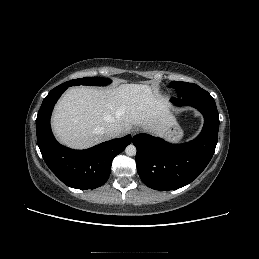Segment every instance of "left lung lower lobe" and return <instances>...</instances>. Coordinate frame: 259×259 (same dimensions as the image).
I'll return each mask as SVG.
<instances>
[{
  "mask_svg": "<svg viewBox=\"0 0 259 259\" xmlns=\"http://www.w3.org/2000/svg\"><path fill=\"white\" fill-rule=\"evenodd\" d=\"M172 102L195 107L205 122L201 133L184 144L167 143L144 133L133 137L137 172L145 185L160 191L178 189L196 179L211 160L218 139L219 115L210 94L173 98Z\"/></svg>",
  "mask_w": 259,
  "mask_h": 259,
  "instance_id": "0a47b994",
  "label": "left lung lower lobe"
}]
</instances>
